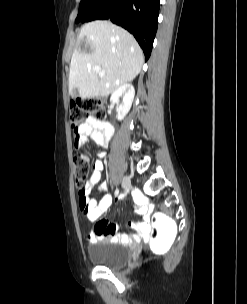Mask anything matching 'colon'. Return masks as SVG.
Instances as JSON below:
<instances>
[{
	"instance_id": "obj_1",
	"label": "colon",
	"mask_w": 247,
	"mask_h": 304,
	"mask_svg": "<svg viewBox=\"0 0 247 304\" xmlns=\"http://www.w3.org/2000/svg\"><path fill=\"white\" fill-rule=\"evenodd\" d=\"M106 116V103L98 98L77 100L70 106V123L74 133L87 119L102 120ZM77 147V142L75 145ZM83 155V154H82ZM79 156L74 155L73 168L75 184L79 190V196L83 195L89 173V162H79ZM151 221V237H148V253H169L175 240V221L164 210H153Z\"/></svg>"
}]
</instances>
